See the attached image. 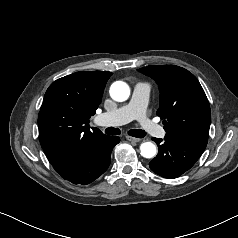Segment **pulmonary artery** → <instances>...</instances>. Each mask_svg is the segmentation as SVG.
<instances>
[{"label": "pulmonary artery", "instance_id": "obj_1", "mask_svg": "<svg viewBox=\"0 0 238 238\" xmlns=\"http://www.w3.org/2000/svg\"><path fill=\"white\" fill-rule=\"evenodd\" d=\"M150 86L143 82L134 85L130 101L111 111L97 117L101 125L118 126L132 120H138L144 131L152 136L159 137L164 134L161 126L147 118V100L150 94Z\"/></svg>", "mask_w": 238, "mask_h": 238}]
</instances>
